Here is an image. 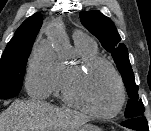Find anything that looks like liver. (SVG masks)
Returning a JSON list of instances; mask_svg holds the SVG:
<instances>
[{"instance_id": "6515ba94", "label": "liver", "mask_w": 151, "mask_h": 131, "mask_svg": "<svg viewBox=\"0 0 151 131\" xmlns=\"http://www.w3.org/2000/svg\"><path fill=\"white\" fill-rule=\"evenodd\" d=\"M89 121L71 109L41 101H14L0 114V131H78Z\"/></svg>"}]
</instances>
